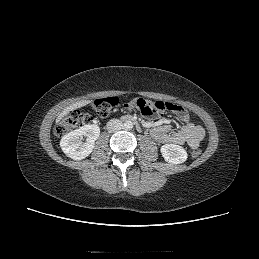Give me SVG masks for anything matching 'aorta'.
Segmentation results:
<instances>
[{"label": "aorta", "mask_w": 259, "mask_h": 259, "mask_svg": "<svg viewBox=\"0 0 259 259\" xmlns=\"http://www.w3.org/2000/svg\"><path fill=\"white\" fill-rule=\"evenodd\" d=\"M124 127L125 129L130 130L133 128V123L131 121H125Z\"/></svg>", "instance_id": "1"}]
</instances>
